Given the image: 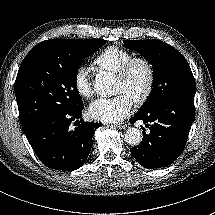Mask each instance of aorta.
<instances>
[{
	"mask_svg": "<svg viewBox=\"0 0 215 215\" xmlns=\"http://www.w3.org/2000/svg\"><path fill=\"white\" fill-rule=\"evenodd\" d=\"M107 74L99 73L95 78V90L102 96L109 95V85L107 84ZM124 141L129 145H139L142 141V132L138 128H128L125 133Z\"/></svg>",
	"mask_w": 215,
	"mask_h": 215,
	"instance_id": "762f6f07",
	"label": "aorta"
}]
</instances>
